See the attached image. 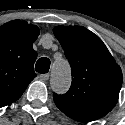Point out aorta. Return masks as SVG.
I'll return each instance as SVG.
<instances>
[{
    "instance_id": "1",
    "label": "aorta",
    "mask_w": 125,
    "mask_h": 125,
    "mask_svg": "<svg viewBox=\"0 0 125 125\" xmlns=\"http://www.w3.org/2000/svg\"><path fill=\"white\" fill-rule=\"evenodd\" d=\"M71 83L70 67L66 60L54 63L50 85L52 90L57 93H64L68 90Z\"/></svg>"
}]
</instances>
